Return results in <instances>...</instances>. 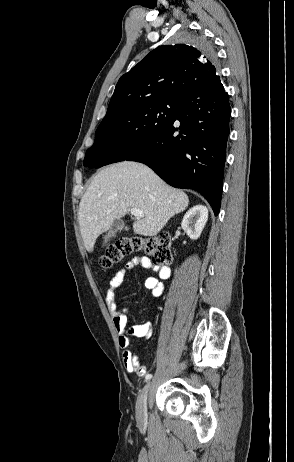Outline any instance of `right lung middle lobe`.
<instances>
[{"label": "right lung middle lobe", "mask_w": 294, "mask_h": 462, "mask_svg": "<svg viewBox=\"0 0 294 462\" xmlns=\"http://www.w3.org/2000/svg\"><path fill=\"white\" fill-rule=\"evenodd\" d=\"M178 40L199 50L214 52L212 44L203 35L184 31ZM182 99L175 95L151 98L106 115L85 158L94 153L103 154L105 165L125 160L174 118Z\"/></svg>", "instance_id": "1"}]
</instances>
